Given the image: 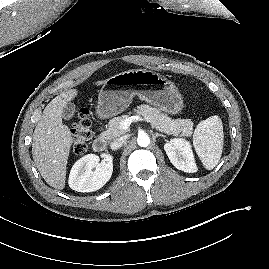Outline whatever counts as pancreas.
<instances>
[{
	"mask_svg": "<svg viewBox=\"0 0 269 269\" xmlns=\"http://www.w3.org/2000/svg\"><path fill=\"white\" fill-rule=\"evenodd\" d=\"M134 113L141 115L150 122L151 126L166 134L191 136L193 131V122L190 119H172L162 113L160 109L150 107L149 105H140L134 109ZM128 115H122L111 119L108 128L102 133V137L107 140L124 135L127 130L121 128V122L128 118Z\"/></svg>",
	"mask_w": 269,
	"mask_h": 269,
	"instance_id": "obj_1",
	"label": "pancreas"
}]
</instances>
